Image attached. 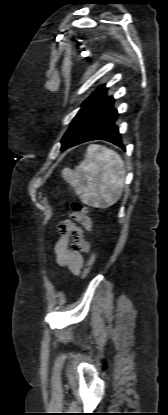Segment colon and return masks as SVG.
<instances>
[{"instance_id":"1","label":"colon","mask_w":168,"mask_h":415,"mask_svg":"<svg viewBox=\"0 0 168 415\" xmlns=\"http://www.w3.org/2000/svg\"><path fill=\"white\" fill-rule=\"evenodd\" d=\"M71 209L72 211L78 210L80 211L81 214H87L88 213V209L87 206L84 205L82 202L78 201V200H74L71 202ZM95 261V254L93 251L90 252L85 270H84V276H87L89 274V272L91 271L93 264Z\"/></svg>"}]
</instances>
